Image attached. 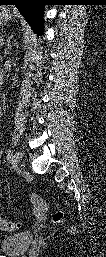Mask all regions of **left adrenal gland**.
<instances>
[{
	"label": "left adrenal gland",
	"mask_w": 106,
	"mask_h": 257,
	"mask_svg": "<svg viewBox=\"0 0 106 257\" xmlns=\"http://www.w3.org/2000/svg\"><path fill=\"white\" fill-rule=\"evenodd\" d=\"M11 39H12V36L8 37V39L6 40V48H5V51H4V54H9V50L11 49L12 45H11Z\"/></svg>",
	"instance_id": "1"
}]
</instances>
